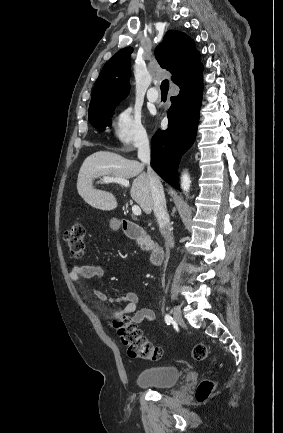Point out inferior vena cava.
<instances>
[{"mask_svg":"<svg viewBox=\"0 0 283 433\" xmlns=\"http://www.w3.org/2000/svg\"><path fill=\"white\" fill-rule=\"evenodd\" d=\"M138 158L147 164V176L150 182V188L154 200V214L160 225V231L166 241L167 247L173 249L174 239L170 231L169 214L166 208L165 194L163 186L152 166H150V146L148 140H144L138 148Z\"/></svg>","mask_w":283,"mask_h":433,"instance_id":"1","label":"inferior vena cava"}]
</instances>
